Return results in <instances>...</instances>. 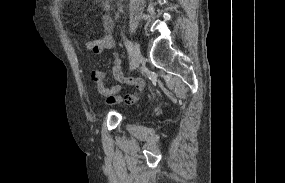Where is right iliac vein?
Here are the masks:
<instances>
[{"label": "right iliac vein", "instance_id": "63e3f726", "mask_svg": "<svg viewBox=\"0 0 285 183\" xmlns=\"http://www.w3.org/2000/svg\"><path fill=\"white\" fill-rule=\"evenodd\" d=\"M140 59H141V50L139 44L136 42L134 49H133V54H132V59H131V69H136L139 64H140Z\"/></svg>", "mask_w": 285, "mask_h": 183}]
</instances>
